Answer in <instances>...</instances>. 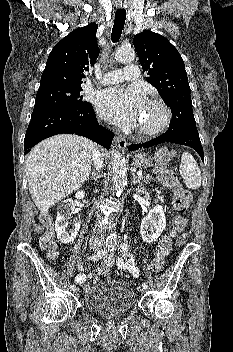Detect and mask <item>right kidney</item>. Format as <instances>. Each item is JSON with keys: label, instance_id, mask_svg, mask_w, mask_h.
I'll list each match as a JSON object with an SVG mask.
<instances>
[{"label": "right kidney", "instance_id": "obj_1", "mask_svg": "<svg viewBox=\"0 0 233 352\" xmlns=\"http://www.w3.org/2000/svg\"><path fill=\"white\" fill-rule=\"evenodd\" d=\"M85 196L84 191H79L76 193L75 198L80 200L83 199ZM68 204L67 211H61L57 214V218L55 221V231L57 234V239L61 243H71L77 237L79 230H80V223L75 222L70 229H68L69 225V215L70 211L73 209L74 202L72 199H68L66 201Z\"/></svg>", "mask_w": 233, "mask_h": 352}]
</instances>
